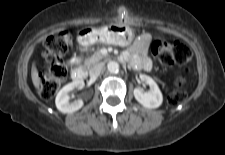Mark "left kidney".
<instances>
[{
	"label": "left kidney",
	"mask_w": 225,
	"mask_h": 155,
	"mask_svg": "<svg viewBox=\"0 0 225 155\" xmlns=\"http://www.w3.org/2000/svg\"><path fill=\"white\" fill-rule=\"evenodd\" d=\"M140 79L150 86V90L148 92H142L141 89L135 88V99L146 108H158L163 102V96L157 83L145 74H141Z\"/></svg>",
	"instance_id": "obj_1"
}]
</instances>
